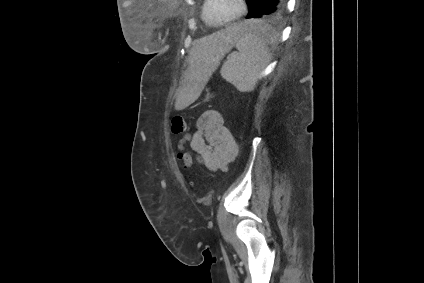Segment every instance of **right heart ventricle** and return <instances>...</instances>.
<instances>
[{
  "instance_id": "obj_1",
  "label": "right heart ventricle",
  "mask_w": 424,
  "mask_h": 283,
  "mask_svg": "<svg viewBox=\"0 0 424 283\" xmlns=\"http://www.w3.org/2000/svg\"><path fill=\"white\" fill-rule=\"evenodd\" d=\"M203 8H204V4H203V7H202V13H203Z\"/></svg>"
}]
</instances>
